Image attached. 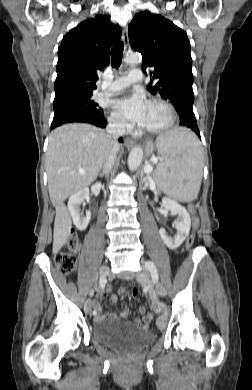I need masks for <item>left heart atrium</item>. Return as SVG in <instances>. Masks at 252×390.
<instances>
[{
	"mask_svg": "<svg viewBox=\"0 0 252 390\" xmlns=\"http://www.w3.org/2000/svg\"><path fill=\"white\" fill-rule=\"evenodd\" d=\"M145 97L140 93H134L121 97L114 101L113 107L116 113L122 118L141 125L148 106Z\"/></svg>",
	"mask_w": 252,
	"mask_h": 390,
	"instance_id": "obj_1",
	"label": "left heart atrium"
}]
</instances>
